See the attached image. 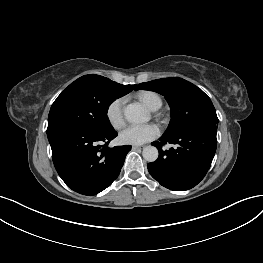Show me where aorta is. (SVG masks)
Instances as JSON below:
<instances>
[{
	"instance_id": "1",
	"label": "aorta",
	"mask_w": 263,
	"mask_h": 263,
	"mask_svg": "<svg viewBox=\"0 0 263 263\" xmlns=\"http://www.w3.org/2000/svg\"><path fill=\"white\" fill-rule=\"evenodd\" d=\"M124 116L131 123H145L150 120L149 112L140 103H131L124 109ZM143 158L148 162H154L158 158V150L154 146H146L142 152Z\"/></svg>"
}]
</instances>
